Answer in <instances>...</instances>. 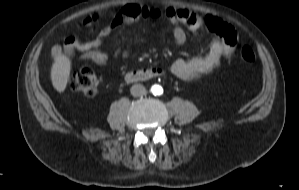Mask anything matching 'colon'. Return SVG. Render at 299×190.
Here are the masks:
<instances>
[{"mask_svg":"<svg viewBox=\"0 0 299 190\" xmlns=\"http://www.w3.org/2000/svg\"><path fill=\"white\" fill-rule=\"evenodd\" d=\"M89 26L92 24L90 23ZM240 57L246 64H252L256 59L253 49L249 46L241 49ZM69 83L74 90L80 91L86 96H94L98 90L99 78L91 68L81 67L71 75Z\"/></svg>","mask_w":299,"mask_h":190,"instance_id":"1","label":"colon"}]
</instances>
